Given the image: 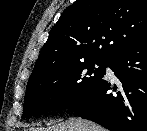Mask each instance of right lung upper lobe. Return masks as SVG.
<instances>
[{
	"instance_id": "cb5924a9",
	"label": "right lung upper lobe",
	"mask_w": 147,
	"mask_h": 131,
	"mask_svg": "<svg viewBox=\"0 0 147 131\" xmlns=\"http://www.w3.org/2000/svg\"><path fill=\"white\" fill-rule=\"evenodd\" d=\"M147 38V0H77L51 29L31 77L88 59L110 60Z\"/></svg>"
}]
</instances>
